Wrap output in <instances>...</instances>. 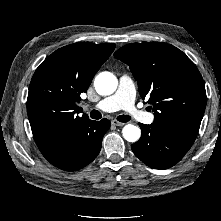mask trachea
Returning <instances> with one entry per match:
<instances>
[{"label":"trachea","instance_id":"trachea-1","mask_svg":"<svg viewBox=\"0 0 221 221\" xmlns=\"http://www.w3.org/2000/svg\"><path fill=\"white\" fill-rule=\"evenodd\" d=\"M90 117L92 119H100L102 117V115L99 111L92 110L90 112ZM117 120L124 123V122H128L129 120H131V118L128 115H120V116L117 117Z\"/></svg>","mask_w":221,"mask_h":221}]
</instances>
